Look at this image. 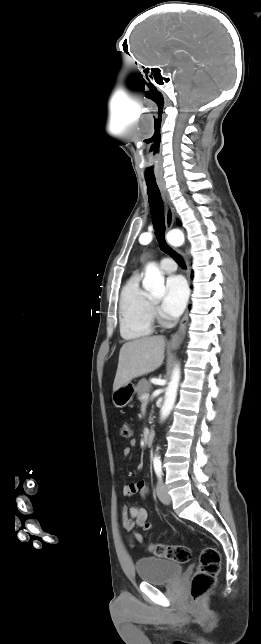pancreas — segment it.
Masks as SVG:
<instances>
[{"instance_id": "1", "label": "pancreas", "mask_w": 261, "mask_h": 644, "mask_svg": "<svg viewBox=\"0 0 261 644\" xmlns=\"http://www.w3.org/2000/svg\"><path fill=\"white\" fill-rule=\"evenodd\" d=\"M150 389H151V384L146 379H141L139 381V383L136 386V392H137L139 401L141 402L145 401L142 399V396L145 393H148Z\"/></svg>"}]
</instances>
